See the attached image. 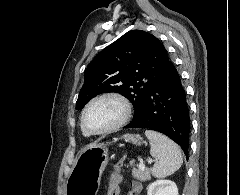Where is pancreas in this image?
<instances>
[{"label":"pancreas","instance_id":"obj_1","mask_svg":"<svg viewBox=\"0 0 240 195\" xmlns=\"http://www.w3.org/2000/svg\"><path fill=\"white\" fill-rule=\"evenodd\" d=\"M130 165H134V159L130 161ZM132 175L135 179H139V181H147V179H151L150 167H145V169H136V167H133Z\"/></svg>","mask_w":240,"mask_h":195}]
</instances>
